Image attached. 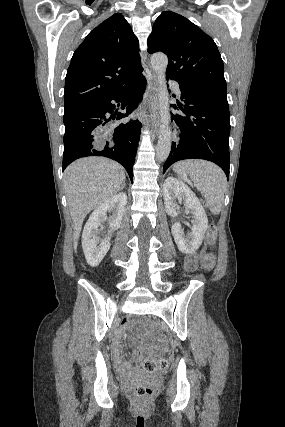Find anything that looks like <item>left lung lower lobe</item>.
I'll return each instance as SVG.
<instances>
[{
    "label": "left lung lower lobe",
    "instance_id": "1",
    "mask_svg": "<svg viewBox=\"0 0 285 427\" xmlns=\"http://www.w3.org/2000/svg\"><path fill=\"white\" fill-rule=\"evenodd\" d=\"M178 104L187 116L173 115L181 129L179 144L172 143L163 173L175 162L184 159H204L219 165L229 177L230 115L227 97L214 93L187 90L180 87ZM178 109L176 105H173Z\"/></svg>",
    "mask_w": 285,
    "mask_h": 427
}]
</instances>
